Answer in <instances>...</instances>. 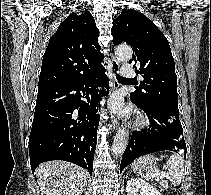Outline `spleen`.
Returning <instances> with one entry per match:
<instances>
[{
	"label": "spleen",
	"instance_id": "1",
	"mask_svg": "<svg viewBox=\"0 0 211 195\" xmlns=\"http://www.w3.org/2000/svg\"><path fill=\"white\" fill-rule=\"evenodd\" d=\"M169 171L164 173L159 170L154 171V175L160 178H167L172 184L179 185L184 176V162L178 154H172L167 160Z\"/></svg>",
	"mask_w": 211,
	"mask_h": 195
}]
</instances>
